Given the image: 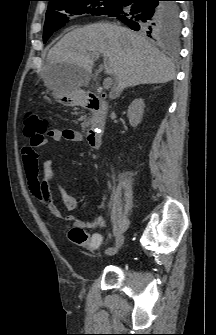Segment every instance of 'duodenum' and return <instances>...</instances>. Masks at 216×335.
<instances>
[{"instance_id":"duodenum-1","label":"duodenum","mask_w":216,"mask_h":335,"mask_svg":"<svg viewBox=\"0 0 216 335\" xmlns=\"http://www.w3.org/2000/svg\"><path fill=\"white\" fill-rule=\"evenodd\" d=\"M84 105L93 112V119L86 133L87 141L92 148H99L105 127L106 102L96 94L85 98Z\"/></svg>"}]
</instances>
